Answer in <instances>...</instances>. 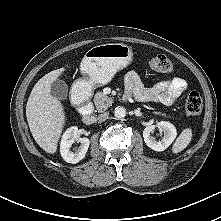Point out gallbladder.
I'll return each mask as SVG.
<instances>
[{
    "mask_svg": "<svg viewBox=\"0 0 221 221\" xmlns=\"http://www.w3.org/2000/svg\"><path fill=\"white\" fill-rule=\"evenodd\" d=\"M51 95L58 100H65L68 97V85L63 80H55L51 84Z\"/></svg>",
    "mask_w": 221,
    "mask_h": 221,
    "instance_id": "bac80fb5",
    "label": "gallbladder"
}]
</instances>
